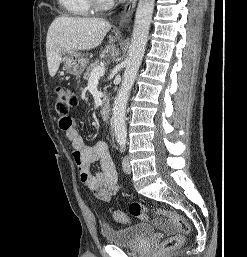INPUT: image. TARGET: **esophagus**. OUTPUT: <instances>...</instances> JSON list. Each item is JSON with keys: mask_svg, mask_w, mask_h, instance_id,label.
Listing matches in <instances>:
<instances>
[{"mask_svg": "<svg viewBox=\"0 0 247 257\" xmlns=\"http://www.w3.org/2000/svg\"><path fill=\"white\" fill-rule=\"evenodd\" d=\"M137 0H128L119 19L118 30H124L130 23Z\"/></svg>", "mask_w": 247, "mask_h": 257, "instance_id": "obj_1", "label": "esophagus"}]
</instances>
